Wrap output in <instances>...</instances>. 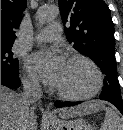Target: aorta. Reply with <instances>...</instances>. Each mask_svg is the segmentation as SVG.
Returning a JSON list of instances; mask_svg holds the SVG:
<instances>
[{"mask_svg":"<svg viewBox=\"0 0 123 130\" xmlns=\"http://www.w3.org/2000/svg\"><path fill=\"white\" fill-rule=\"evenodd\" d=\"M59 15V8L57 6H42L37 10L36 16L41 24L55 19Z\"/></svg>","mask_w":123,"mask_h":130,"instance_id":"1","label":"aorta"}]
</instances>
